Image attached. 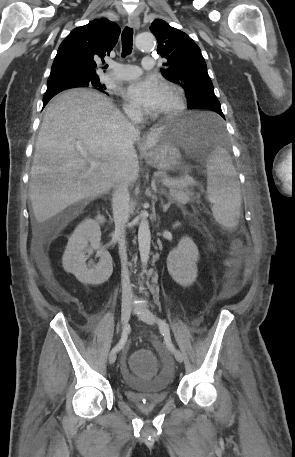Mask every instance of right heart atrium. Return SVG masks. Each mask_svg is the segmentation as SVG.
<instances>
[{"label": "right heart atrium", "mask_w": 295, "mask_h": 457, "mask_svg": "<svg viewBox=\"0 0 295 457\" xmlns=\"http://www.w3.org/2000/svg\"><path fill=\"white\" fill-rule=\"evenodd\" d=\"M124 108H125L127 115L130 116L131 118L138 119L142 116L141 110L139 108L135 107L134 105L125 104Z\"/></svg>", "instance_id": "d8ad5b80"}]
</instances>
